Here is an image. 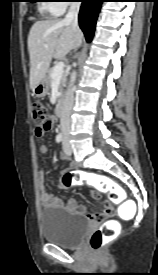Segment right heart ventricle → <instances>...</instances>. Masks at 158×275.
Listing matches in <instances>:
<instances>
[{
    "instance_id": "obj_1",
    "label": "right heart ventricle",
    "mask_w": 158,
    "mask_h": 275,
    "mask_svg": "<svg viewBox=\"0 0 158 275\" xmlns=\"http://www.w3.org/2000/svg\"><path fill=\"white\" fill-rule=\"evenodd\" d=\"M42 10L47 11L52 15H60L58 11L54 10L52 7V3H46L41 5Z\"/></svg>"
}]
</instances>
